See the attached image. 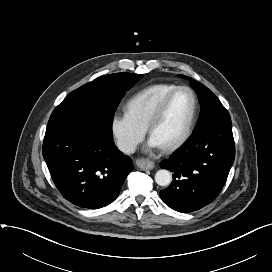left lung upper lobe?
<instances>
[{
    "label": "left lung upper lobe",
    "mask_w": 272,
    "mask_h": 272,
    "mask_svg": "<svg viewBox=\"0 0 272 272\" xmlns=\"http://www.w3.org/2000/svg\"><path fill=\"white\" fill-rule=\"evenodd\" d=\"M179 77L186 78L190 81L201 104L200 117L195 130L214 123L231 120L228 111L211 90L190 77L184 75H179Z\"/></svg>",
    "instance_id": "obj_1"
}]
</instances>
